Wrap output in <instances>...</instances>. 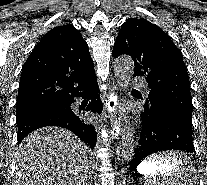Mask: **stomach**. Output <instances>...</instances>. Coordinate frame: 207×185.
I'll return each mask as SVG.
<instances>
[{
	"label": "stomach",
	"mask_w": 207,
	"mask_h": 185,
	"mask_svg": "<svg viewBox=\"0 0 207 185\" xmlns=\"http://www.w3.org/2000/svg\"><path fill=\"white\" fill-rule=\"evenodd\" d=\"M166 165L163 162L158 160H145L137 168V171L146 177H153L160 174L161 171H164Z\"/></svg>",
	"instance_id": "stomach-1"
}]
</instances>
